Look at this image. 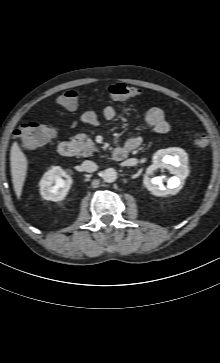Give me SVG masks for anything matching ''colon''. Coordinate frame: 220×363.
Wrapping results in <instances>:
<instances>
[{
    "mask_svg": "<svg viewBox=\"0 0 220 363\" xmlns=\"http://www.w3.org/2000/svg\"><path fill=\"white\" fill-rule=\"evenodd\" d=\"M107 92L112 100H125L142 94L139 88L125 83L112 84L108 87ZM57 103L65 109H74L79 103V94L75 90H67L58 96ZM55 133L53 126L37 121L22 124L14 132L23 149H32L43 145L49 142ZM192 141L199 147H205L209 143V137L205 132L198 130L193 132Z\"/></svg>",
    "mask_w": 220,
    "mask_h": 363,
    "instance_id": "obj_1",
    "label": "colon"
}]
</instances>
